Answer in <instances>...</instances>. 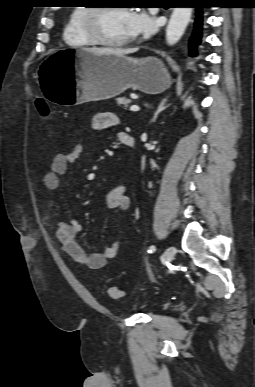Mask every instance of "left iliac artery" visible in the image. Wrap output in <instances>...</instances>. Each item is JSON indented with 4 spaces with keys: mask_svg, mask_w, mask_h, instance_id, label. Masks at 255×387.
Instances as JSON below:
<instances>
[{
    "mask_svg": "<svg viewBox=\"0 0 255 387\" xmlns=\"http://www.w3.org/2000/svg\"><path fill=\"white\" fill-rule=\"evenodd\" d=\"M155 250H156V247L154 245H152L149 247L148 253H153V252H155Z\"/></svg>",
    "mask_w": 255,
    "mask_h": 387,
    "instance_id": "1",
    "label": "left iliac artery"
}]
</instances>
